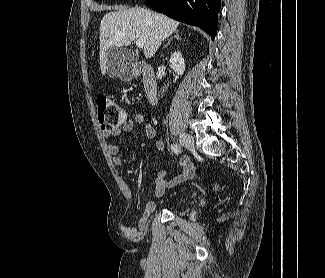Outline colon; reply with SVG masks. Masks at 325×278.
Instances as JSON below:
<instances>
[{"label":"colon","mask_w":325,"mask_h":278,"mask_svg":"<svg viewBox=\"0 0 325 278\" xmlns=\"http://www.w3.org/2000/svg\"><path fill=\"white\" fill-rule=\"evenodd\" d=\"M98 120L102 130H114L128 120L127 111L108 97H98Z\"/></svg>","instance_id":"5ec220e1"}]
</instances>
